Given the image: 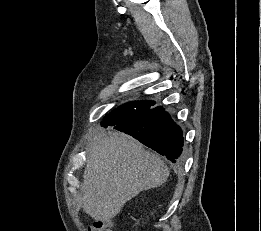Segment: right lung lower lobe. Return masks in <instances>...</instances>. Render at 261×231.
Instances as JSON below:
<instances>
[{"instance_id":"1","label":"right lung lower lobe","mask_w":261,"mask_h":231,"mask_svg":"<svg viewBox=\"0 0 261 231\" xmlns=\"http://www.w3.org/2000/svg\"><path fill=\"white\" fill-rule=\"evenodd\" d=\"M114 128L131 135L173 163L179 161L183 147L182 130L162 107L151 108Z\"/></svg>"}]
</instances>
